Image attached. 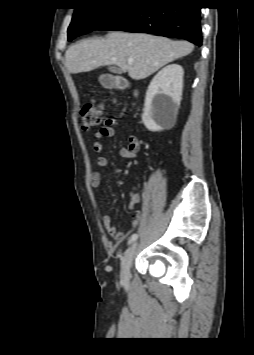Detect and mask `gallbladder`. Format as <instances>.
<instances>
[{
	"label": "gallbladder",
	"instance_id": "gallbladder-1",
	"mask_svg": "<svg viewBox=\"0 0 254 355\" xmlns=\"http://www.w3.org/2000/svg\"><path fill=\"white\" fill-rule=\"evenodd\" d=\"M109 70L111 72H114V73H120L121 72V70L119 68H117V67H110Z\"/></svg>",
	"mask_w": 254,
	"mask_h": 355
}]
</instances>
